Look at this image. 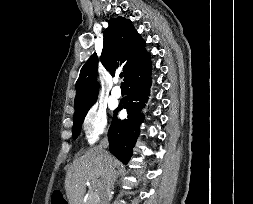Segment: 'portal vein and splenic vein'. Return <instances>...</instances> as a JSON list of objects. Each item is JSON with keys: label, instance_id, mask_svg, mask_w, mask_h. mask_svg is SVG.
I'll list each match as a JSON object with an SVG mask.
<instances>
[{"label": "portal vein and splenic vein", "instance_id": "portal-vein-and-splenic-vein-1", "mask_svg": "<svg viewBox=\"0 0 253 204\" xmlns=\"http://www.w3.org/2000/svg\"><path fill=\"white\" fill-rule=\"evenodd\" d=\"M95 185H96V186H99V185H100V182H95Z\"/></svg>", "mask_w": 253, "mask_h": 204}]
</instances>
